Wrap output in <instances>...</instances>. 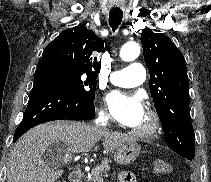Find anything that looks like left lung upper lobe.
Segmentation results:
<instances>
[{
	"label": "left lung upper lobe",
	"mask_w": 211,
	"mask_h": 182,
	"mask_svg": "<svg viewBox=\"0 0 211 182\" xmlns=\"http://www.w3.org/2000/svg\"><path fill=\"white\" fill-rule=\"evenodd\" d=\"M141 43L150 72V92L167 145L192 160L195 135L189 113V82L183 54L164 34L144 29Z\"/></svg>",
	"instance_id": "5c2ea615"
}]
</instances>
